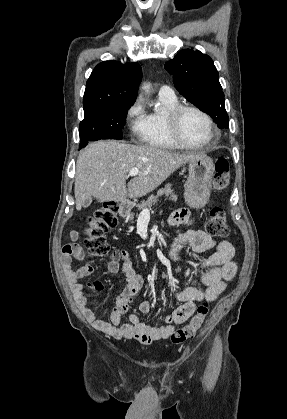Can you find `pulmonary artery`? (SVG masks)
Here are the masks:
<instances>
[{"instance_id":"1","label":"pulmonary artery","mask_w":287,"mask_h":419,"mask_svg":"<svg viewBox=\"0 0 287 419\" xmlns=\"http://www.w3.org/2000/svg\"><path fill=\"white\" fill-rule=\"evenodd\" d=\"M159 96L173 98L175 97L173 89L168 85H163L159 89Z\"/></svg>"}]
</instances>
